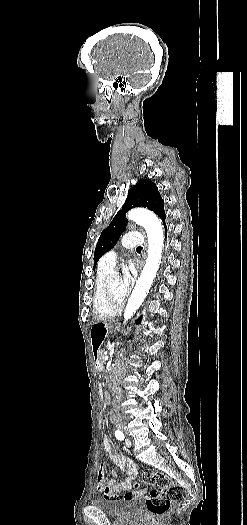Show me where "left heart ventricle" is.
<instances>
[{"mask_svg":"<svg viewBox=\"0 0 247 525\" xmlns=\"http://www.w3.org/2000/svg\"><path fill=\"white\" fill-rule=\"evenodd\" d=\"M130 254H126L122 261H121V265H120V268L122 270L124 269H143L145 267H148V268H151V264H137L136 261L133 262L131 259H130ZM120 279L119 277H113L110 281V291L111 293L115 294L117 296V291H118V287H119V284H120Z\"/></svg>","mask_w":247,"mask_h":525,"instance_id":"1","label":"left heart ventricle"}]
</instances>
